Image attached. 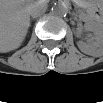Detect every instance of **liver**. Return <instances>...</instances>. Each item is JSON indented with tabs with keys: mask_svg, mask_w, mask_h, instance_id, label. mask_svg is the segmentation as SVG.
<instances>
[{
	"mask_svg": "<svg viewBox=\"0 0 103 103\" xmlns=\"http://www.w3.org/2000/svg\"><path fill=\"white\" fill-rule=\"evenodd\" d=\"M31 5L23 0L1 2L0 49L6 53L18 48L30 25Z\"/></svg>",
	"mask_w": 103,
	"mask_h": 103,
	"instance_id": "1",
	"label": "liver"
}]
</instances>
